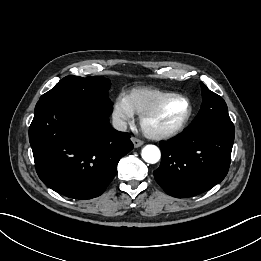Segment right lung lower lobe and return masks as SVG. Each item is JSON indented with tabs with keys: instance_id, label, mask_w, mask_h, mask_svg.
Here are the masks:
<instances>
[{
	"instance_id": "98d812e1",
	"label": "right lung lower lobe",
	"mask_w": 261,
	"mask_h": 261,
	"mask_svg": "<svg viewBox=\"0 0 261 261\" xmlns=\"http://www.w3.org/2000/svg\"><path fill=\"white\" fill-rule=\"evenodd\" d=\"M36 171L52 190L74 199L100 196L133 144L95 106L38 101L29 128Z\"/></svg>"
}]
</instances>
